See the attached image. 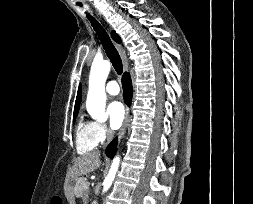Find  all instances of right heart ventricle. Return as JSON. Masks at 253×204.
<instances>
[{"label":"right heart ventricle","instance_id":"right-heart-ventricle-1","mask_svg":"<svg viewBox=\"0 0 253 204\" xmlns=\"http://www.w3.org/2000/svg\"><path fill=\"white\" fill-rule=\"evenodd\" d=\"M75 143L78 153L84 154L93 151L97 141L93 134L92 122L80 119L76 126Z\"/></svg>","mask_w":253,"mask_h":204}]
</instances>
